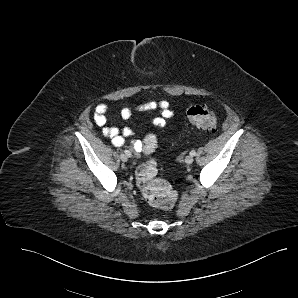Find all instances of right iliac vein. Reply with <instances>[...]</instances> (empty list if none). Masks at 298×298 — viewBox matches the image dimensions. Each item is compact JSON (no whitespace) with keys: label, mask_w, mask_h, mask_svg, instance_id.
<instances>
[{"label":"right iliac vein","mask_w":298,"mask_h":298,"mask_svg":"<svg viewBox=\"0 0 298 298\" xmlns=\"http://www.w3.org/2000/svg\"><path fill=\"white\" fill-rule=\"evenodd\" d=\"M120 159L123 161V162H126L128 160V156L126 154H121L120 155Z\"/></svg>","instance_id":"obj_1"}]
</instances>
